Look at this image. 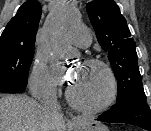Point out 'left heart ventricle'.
Masks as SVG:
<instances>
[{"mask_svg": "<svg viewBox=\"0 0 151 131\" xmlns=\"http://www.w3.org/2000/svg\"><path fill=\"white\" fill-rule=\"evenodd\" d=\"M70 89L73 95L88 104L102 101L108 92V78L105 72L95 66H79Z\"/></svg>", "mask_w": 151, "mask_h": 131, "instance_id": "left-heart-ventricle-1", "label": "left heart ventricle"}]
</instances>
